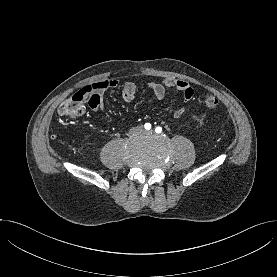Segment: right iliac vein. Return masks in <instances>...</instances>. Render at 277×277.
Segmentation results:
<instances>
[{"label":"right iliac vein","mask_w":277,"mask_h":277,"mask_svg":"<svg viewBox=\"0 0 277 277\" xmlns=\"http://www.w3.org/2000/svg\"><path fill=\"white\" fill-rule=\"evenodd\" d=\"M142 128L141 127H135V128H132L130 131H129V133H128V135H129V137L130 138H136V137H138L140 134H142Z\"/></svg>","instance_id":"1"}]
</instances>
